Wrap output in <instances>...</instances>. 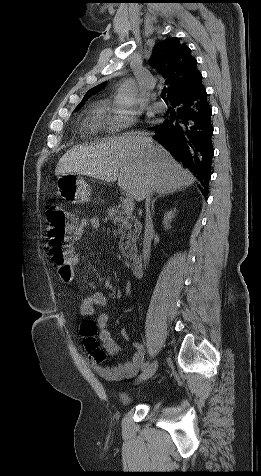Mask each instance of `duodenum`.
<instances>
[{
  "label": "duodenum",
  "mask_w": 261,
  "mask_h": 476,
  "mask_svg": "<svg viewBox=\"0 0 261 476\" xmlns=\"http://www.w3.org/2000/svg\"><path fill=\"white\" fill-rule=\"evenodd\" d=\"M130 265L134 276L139 277L143 273L144 262L140 253H135L130 257Z\"/></svg>",
  "instance_id": "duodenum-1"
}]
</instances>
